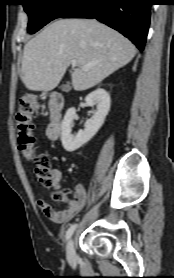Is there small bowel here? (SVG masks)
<instances>
[{
  "instance_id": "1",
  "label": "small bowel",
  "mask_w": 174,
  "mask_h": 278,
  "mask_svg": "<svg viewBox=\"0 0 174 278\" xmlns=\"http://www.w3.org/2000/svg\"><path fill=\"white\" fill-rule=\"evenodd\" d=\"M61 174L56 172V179L54 187L60 189ZM87 200V192L82 184H77L73 193V198L62 196V201L66 204L63 210L53 209L43 198L37 200V205L44 213V215L51 221L56 223H63L69 220L75 213L79 212L85 205Z\"/></svg>"
}]
</instances>
